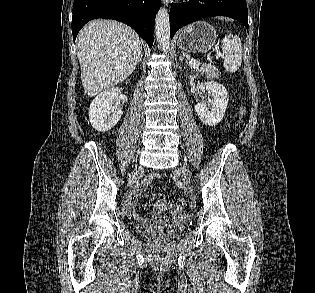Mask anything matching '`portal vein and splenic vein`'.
<instances>
[{
    "label": "portal vein and splenic vein",
    "instance_id": "1",
    "mask_svg": "<svg viewBox=\"0 0 315 293\" xmlns=\"http://www.w3.org/2000/svg\"><path fill=\"white\" fill-rule=\"evenodd\" d=\"M217 56L218 57H223V54L218 53ZM190 64L192 65V67L194 69H197L199 67V65H200V63L196 64L195 62H192V61H190ZM203 65H205V64H203Z\"/></svg>",
    "mask_w": 315,
    "mask_h": 293
}]
</instances>
